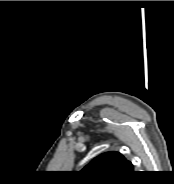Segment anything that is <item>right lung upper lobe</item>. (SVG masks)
<instances>
[{
  "label": "right lung upper lobe",
  "instance_id": "1",
  "mask_svg": "<svg viewBox=\"0 0 174 184\" xmlns=\"http://www.w3.org/2000/svg\"><path fill=\"white\" fill-rule=\"evenodd\" d=\"M82 172L102 180H117L133 172L131 162L118 152H107L93 159Z\"/></svg>",
  "mask_w": 174,
  "mask_h": 184
}]
</instances>
